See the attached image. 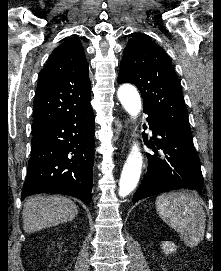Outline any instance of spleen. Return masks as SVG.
I'll use <instances>...</instances> for the list:
<instances>
[{
  "mask_svg": "<svg viewBox=\"0 0 221 271\" xmlns=\"http://www.w3.org/2000/svg\"><path fill=\"white\" fill-rule=\"evenodd\" d=\"M156 209L161 219L178 231L188 247L202 241L206 227V215L201 201L192 193L169 191L156 199Z\"/></svg>",
  "mask_w": 221,
  "mask_h": 271,
  "instance_id": "spleen-1",
  "label": "spleen"
}]
</instances>
